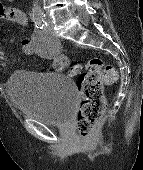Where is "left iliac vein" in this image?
<instances>
[{
    "instance_id": "left-iliac-vein-1",
    "label": "left iliac vein",
    "mask_w": 143,
    "mask_h": 170,
    "mask_svg": "<svg viewBox=\"0 0 143 170\" xmlns=\"http://www.w3.org/2000/svg\"><path fill=\"white\" fill-rule=\"evenodd\" d=\"M47 22L49 25L51 24V19L49 17H47Z\"/></svg>"
}]
</instances>
